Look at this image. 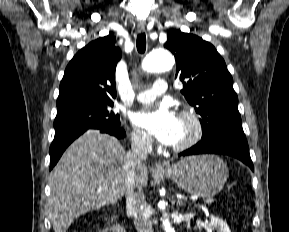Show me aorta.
Listing matches in <instances>:
<instances>
[{"mask_svg": "<svg viewBox=\"0 0 289 232\" xmlns=\"http://www.w3.org/2000/svg\"><path fill=\"white\" fill-rule=\"evenodd\" d=\"M174 57L167 50H153L143 60L142 67L145 71L156 73L165 72L172 69L174 65ZM165 232H175L170 221L164 219L162 221Z\"/></svg>", "mask_w": 289, "mask_h": 232, "instance_id": "1", "label": "aorta"}]
</instances>
